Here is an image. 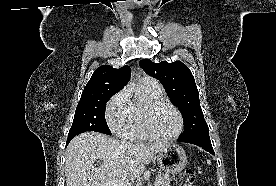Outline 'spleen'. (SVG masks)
I'll return each instance as SVG.
<instances>
[{
  "label": "spleen",
  "instance_id": "obj_1",
  "mask_svg": "<svg viewBox=\"0 0 276 186\" xmlns=\"http://www.w3.org/2000/svg\"><path fill=\"white\" fill-rule=\"evenodd\" d=\"M207 163H208V164H211V161H210V160H207Z\"/></svg>",
  "mask_w": 276,
  "mask_h": 186
}]
</instances>
